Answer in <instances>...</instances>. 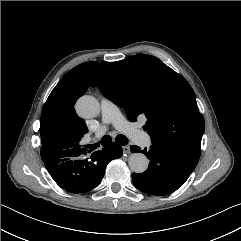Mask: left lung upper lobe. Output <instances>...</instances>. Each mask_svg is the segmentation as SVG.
Instances as JSON below:
<instances>
[{
	"label": "left lung upper lobe",
	"mask_w": 241,
	"mask_h": 241,
	"mask_svg": "<svg viewBox=\"0 0 241 241\" xmlns=\"http://www.w3.org/2000/svg\"><path fill=\"white\" fill-rule=\"evenodd\" d=\"M90 84L124 108L130 121L145 115L143 128L152 144L200 157L205 122L194 91L183 76L158 58L138 54L101 63Z\"/></svg>",
	"instance_id": "5c2ea615"
}]
</instances>
